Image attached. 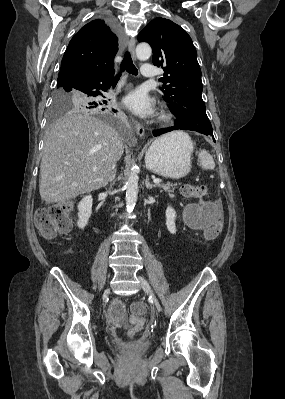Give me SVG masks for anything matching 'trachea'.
<instances>
[{"label": "trachea", "instance_id": "obj_1", "mask_svg": "<svg viewBox=\"0 0 285 399\" xmlns=\"http://www.w3.org/2000/svg\"><path fill=\"white\" fill-rule=\"evenodd\" d=\"M125 70H126L128 73L133 74V75H137V74H138V70H137V68L134 66L133 61H132V58H131L129 52H126V54H125V56H124V59H123L121 65H120V71L122 72V71H125ZM120 76H121V73H118V74L115 76V80H118V79L120 78Z\"/></svg>", "mask_w": 285, "mask_h": 399}]
</instances>
